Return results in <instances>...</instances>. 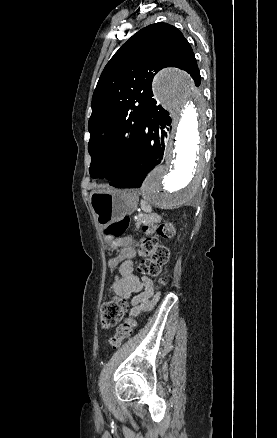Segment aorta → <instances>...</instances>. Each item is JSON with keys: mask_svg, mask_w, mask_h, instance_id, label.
<instances>
[{"mask_svg": "<svg viewBox=\"0 0 277 438\" xmlns=\"http://www.w3.org/2000/svg\"><path fill=\"white\" fill-rule=\"evenodd\" d=\"M154 94L171 114L172 132L164 163L148 175L142 190L157 207L172 209L192 199L200 186L204 169V108L190 77L177 69H164L156 76Z\"/></svg>", "mask_w": 277, "mask_h": 438, "instance_id": "762f6f07", "label": "aorta"}]
</instances>
